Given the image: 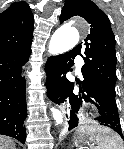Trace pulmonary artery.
<instances>
[{
    "label": "pulmonary artery",
    "mask_w": 124,
    "mask_h": 149,
    "mask_svg": "<svg viewBox=\"0 0 124 149\" xmlns=\"http://www.w3.org/2000/svg\"><path fill=\"white\" fill-rule=\"evenodd\" d=\"M83 65V61L80 57L77 58V68L80 69Z\"/></svg>",
    "instance_id": "1"
}]
</instances>
